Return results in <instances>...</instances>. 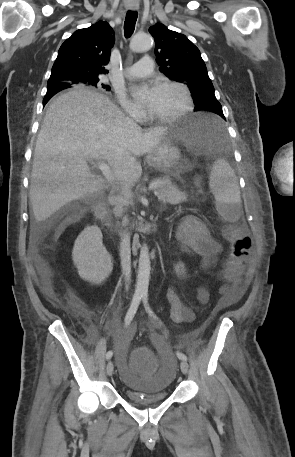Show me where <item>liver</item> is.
Returning a JSON list of instances; mask_svg holds the SVG:
<instances>
[{"instance_id": "6515ba94", "label": "liver", "mask_w": 295, "mask_h": 457, "mask_svg": "<svg viewBox=\"0 0 295 457\" xmlns=\"http://www.w3.org/2000/svg\"><path fill=\"white\" fill-rule=\"evenodd\" d=\"M167 126L144 131L104 94L70 90L49 105L36 141L29 198L37 221L61 207L102 191L88 159L106 160L116 183L130 189L141 177L138 156L160 142Z\"/></svg>"}]
</instances>
